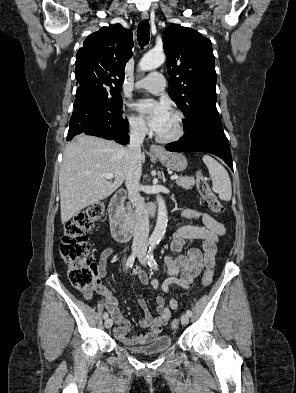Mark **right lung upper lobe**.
Returning a JSON list of instances; mask_svg holds the SVG:
<instances>
[{
  "label": "right lung upper lobe",
  "mask_w": 296,
  "mask_h": 393,
  "mask_svg": "<svg viewBox=\"0 0 296 393\" xmlns=\"http://www.w3.org/2000/svg\"><path fill=\"white\" fill-rule=\"evenodd\" d=\"M132 36V29L120 24L89 35L77 52L76 79L93 77L120 89L126 62L132 56Z\"/></svg>",
  "instance_id": "1"
}]
</instances>
